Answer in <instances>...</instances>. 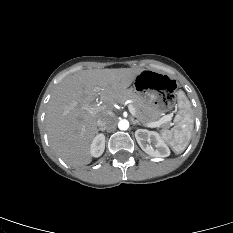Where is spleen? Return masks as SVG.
<instances>
[{
	"label": "spleen",
	"mask_w": 233,
	"mask_h": 233,
	"mask_svg": "<svg viewBox=\"0 0 233 233\" xmlns=\"http://www.w3.org/2000/svg\"><path fill=\"white\" fill-rule=\"evenodd\" d=\"M179 111L171 130L162 129L161 135L176 154L182 153L188 146L194 128L193 111L190 101L183 91L178 92Z\"/></svg>",
	"instance_id": "spleen-1"
}]
</instances>
